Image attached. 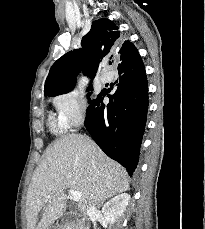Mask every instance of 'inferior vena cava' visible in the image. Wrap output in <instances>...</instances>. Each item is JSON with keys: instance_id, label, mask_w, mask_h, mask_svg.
<instances>
[{"instance_id": "602c4592", "label": "inferior vena cava", "mask_w": 205, "mask_h": 229, "mask_svg": "<svg viewBox=\"0 0 205 229\" xmlns=\"http://www.w3.org/2000/svg\"><path fill=\"white\" fill-rule=\"evenodd\" d=\"M95 210V205L93 202H89V206L87 208V214H90L91 212H93Z\"/></svg>"}]
</instances>
